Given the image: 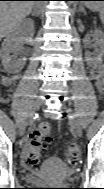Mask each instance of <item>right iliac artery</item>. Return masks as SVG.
<instances>
[{
    "instance_id": "obj_1",
    "label": "right iliac artery",
    "mask_w": 104,
    "mask_h": 189,
    "mask_svg": "<svg viewBox=\"0 0 104 189\" xmlns=\"http://www.w3.org/2000/svg\"><path fill=\"white\" fill-rule=\"evenodd\" d=\"M31 116H32L33 118H35V117L33 116V114H31Z\"/></svg>"
}]
</instances>
